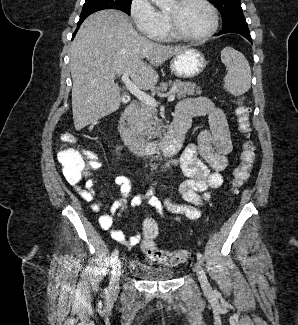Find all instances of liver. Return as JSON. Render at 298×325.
Returning a JSON list of instances; mask_svg holds the SVG:
<instances>
[{"label": "liver", "mask_w": 298, "mask_h": 325, "mask_svg": "<svg viewBox=\"0 0 298 325\" xmlns=\"http://www.w3.org/2000/svg\"><path fill=\"white\" fill-rule=\"evenodd\" d=\"M188 48L141 36L129 16L116 8L90 14L70 46L76 130L118 110L122 98L115 82L117 74L127 72L139 88H153L159 80L158 66Z\"/></svg>", "instance_id": "1"}]
</instances>
